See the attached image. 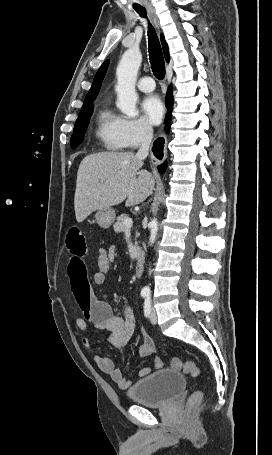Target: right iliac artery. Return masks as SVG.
Returning <instances> with one entry per match:
<instances>
[{"instance_id":"1","label":"right iliac artery","mask_w":272,"mask_h":455,"mask_svg":"<svg viewBox=\"0 0 272 455\" xmlns=\"http://www.w3.org/2000/svg\"><path fill=\"white\" fill-rule=\"evenodd\" d=\"M141 295H142V297L148 296V294L146 292H142Z\"/></svg>"}]
</instances>
